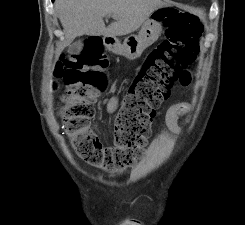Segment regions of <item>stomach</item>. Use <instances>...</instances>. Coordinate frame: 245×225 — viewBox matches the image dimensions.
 I'll return each instance as SVG.
<instances>
[{
    "mask_svg": "<svg viewBox=\"0 0 245 225\" xmlns=\"http://www.w3.org/2000/svg\"><path fill=\"white\" fill-rule=\"evenodd\" d=\"M161 9L166 8L161 7L156 9L142 25L139 33L125 38L123 44L114 38V43L111 44L110 49L114 53L124 56L129 60L139 58L143 51L157 41L161 35L162 24L158 20L159 15L162 13Z\"/></svg>",
    "mask_w": 245,
    "mask_h": 225,
    "instance_id": "1",
    "label": "stomach"
}]
</instances>
